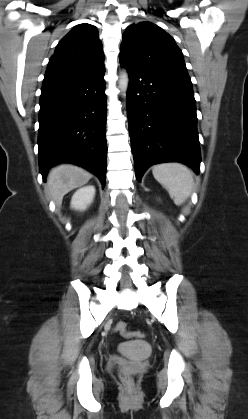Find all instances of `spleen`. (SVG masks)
I'll use <instances>...</instances> for the list:
<instances>
[{
  "label": "spleen",
  "mask_w": 248,
  "mask_h": 419,
  "mask_svg": "<svg viewBox=\"0 0 248 419\" xmlns=\"http://www.w3.org/2000/svg\"><path fill=\"white\" fill-rule=\"evenodd\" d=\"M154 178L166 188L176 205L183 204L191 195L193 175L188 167L180 163H164L153 167Z\"/></svg>",
  "instance_id": "1"
}]
</instances>
